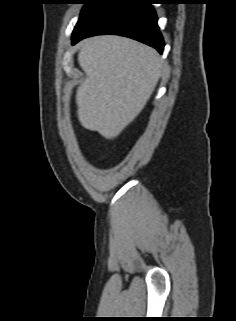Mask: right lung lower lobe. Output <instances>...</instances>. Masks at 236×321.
<instances>
[{"label":"right lung lower lobe","mask_w":236,"mask_h":321,"mask_svg":"<svg viewBox=\"0 0 236 321\" xmlns=\"http://www.w3.org/2000/svg\"><path fill=\"white\" fill-rule=\"evenodd\" d=\"M152 0H109L72 36V44L102 34L133 38L162 53L164 41Z\"/></svg>","instance_id":"98d812e1"}]
</instances>
